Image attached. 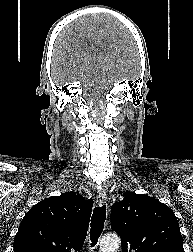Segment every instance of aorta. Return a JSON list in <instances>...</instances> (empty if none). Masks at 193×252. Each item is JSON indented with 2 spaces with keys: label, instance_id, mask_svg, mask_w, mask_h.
I'll list each match as a JSON object with an SVG mask.
<instances>
[{
  "label": "aorta",
  "instance_id": "1",
  "mask_svg": "<svg viewBox=\"0 0 193 252\" xmlns=\"http://www.w3.org/2000/svg\"><path fill=\"white\" fill-rule=\"evenodd\" d=\"M120 245V238L117 235H107L101 239V252H116Z\"/></svg>",
  "mask_w": 193,
  "mask_h": 252
}]
</instances>
